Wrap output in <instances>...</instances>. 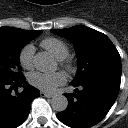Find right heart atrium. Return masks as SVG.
<instances>
[{
    "mask_svg": "<svg viewBox=\"0 0 128 128\" xmlns=\"http://www.w3.org/2000/svg\"><path fill=\"white\" fill-rule=\"evenodd\" d=\"M35 48L32 44L25 45L19 54V62L25 69H31L34 66Z\"/></svg>",
    "mask_w": 128,
    "mask_h": 128,
    "instance_id": "1",
    "label": "right heart atrium"
}]
</instances>
